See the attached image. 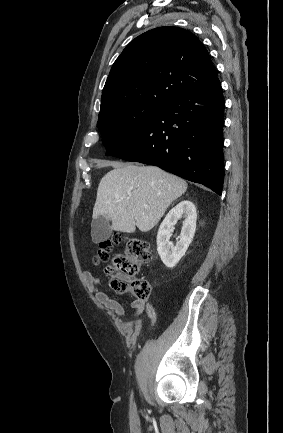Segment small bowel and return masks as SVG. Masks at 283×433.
<instances>
[{"mask_svg": "<svg viewBox=\"0 0 283 433\" xmlns=\"http://www.w3.org/2000/svg\"><path fill=\"white\" fill-rule=\"evenodd\" d=\"M84 280L87 284L89 291L95 296L98 303L106 307L113 314L122 318L125 314V309L121 303L117 300L110 298L105 292L100 290V278L90 272H84ZM129 306L134 311V317L136 319L135 324L141 325L143 322V315L146 314L152 325L156 321V312L152 304L147 299H135L129 303ZM129 325L128 323H126Z\"/></svg>", "mask_w": 283, "mask_h": 433, "instance_id": "c3829d8e", "label": "small bowel"}]
</instances>
